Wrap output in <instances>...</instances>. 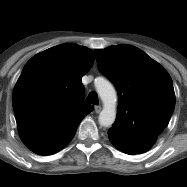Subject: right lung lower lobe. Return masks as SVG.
<instances>
[{
    "label": "right lung lower lobe",
    "instance_id": "right-lung-lower-lobe-1",
    "mask_svg": "<svg viewBox=\"0 0 187 187\" xmlns=\"http://www.w3.org/2000/svg\"><path fill=\"white\" fill-rule=\"evenodd\" d=\"M75 134V133H74ZM74 134L72 135V136H70L67 140H65L61 145H60V147H59V149L57 150V151H59V150H61L62 148H64L69 142H70V140L73 138V136H74ZM56 151V152H57ZM55 153V152H54ZM54 153H46V155H48V154H54Z\"/></svg>",
    "mask_w": 187,
    "mask_h": 187
}]
</instances>
